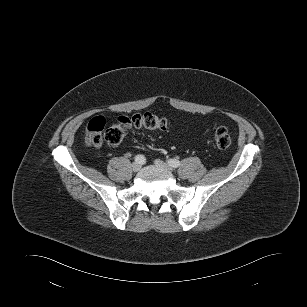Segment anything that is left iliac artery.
<instances>
[{"instance_id":"left-iliac-artery-1","label":"left iliac artery","mask_w":307,"mask_h":307,"mask_svg":"<svg viewBox=\"0 0 307 307\" xmlns=\"http://www.w3.org/2000/svg\"><path fill=\"white\" fill-rule=\"evenodd\" d=\"M168 164L173 168H177L180 166V161L177 159H169Z\"/></svg>"}]
</instances>
